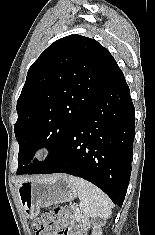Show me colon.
Segmentation results:
<instances>
[{
  "instance_id": "5ec220e1",
  "label": "colon",
  "mask_w": 155,
  "mask_h": 235,
  "mask_svg": "<svg viewBox=\"0 0 155 235\" xmlns=\"http://www.w3.org/2000/svg\"><path fill=\"white\" fill-rule=\"evenodd\" d=\"M53 230H50V228ZM36 235H85L82 228L77 225H72L65 231L58 232L49 218L43 217L35 223Z\"/></svg>"
}]
</instances>
